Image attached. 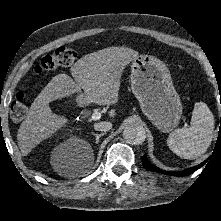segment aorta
<instances>
[{"instance_id": "762f6f07", "label": "aorta", "mask_w": 221, "mask_h": 221, "mask_svg": "<svg viewBox=\"0 0 221 221\" xmlns=\"http://www.w3.org/2000/svg\"><path fill=\"white\" fill-rule=\"evenodd\" d=\"M123 137L128 143L138 145L145 141L146 131L141 125L130 124L125 127Z\"/></svg>"}]
</instances>
